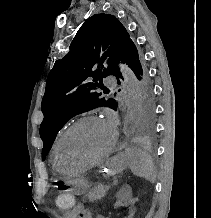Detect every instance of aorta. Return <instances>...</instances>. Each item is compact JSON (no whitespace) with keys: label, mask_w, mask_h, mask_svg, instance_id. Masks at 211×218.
Returning a JSON list of instances; mask_svg holds the SVG:
<instances>
[{"label":"aorta","mask_w":211,"mask_h":218,"mask_svg":"<svg viewBox=\"0 0 211 218\" xmlns=\"http://www.w3.org/2000/svg\"><path fill=\"white\" fill-rule=\"evenodd\" d=\"M119 67L125 81L127 93V112L124 120V134L129 136L136 130L140 119V85L128 66L120 64Z\"/></svg>","instance_id":"aorta-1"}]
</instances>
